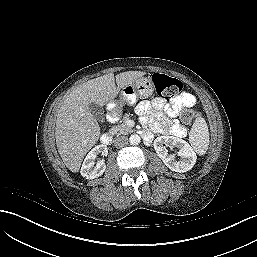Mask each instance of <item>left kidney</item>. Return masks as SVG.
Listing matches in <instances>:
<instances>
[{"mask_svg": "<svg viewBox=\"0 0 257 257\" xmlns=\"http://www.w3.org/2000/svg\"><path fill=\"white\" fill-rule=\"evenodd\" d=\"M166 147L177 148V155L182 159L175 160L174 155L169 154ZM154 149L163 163L172 171L187 172L196 163V153L189 143L183 139L174 136H159L154 140Z\"/></svg>", "mask_w": 257, "mask_h": 257, "instance_id": "left-kidney-1", "label": "left kidney"}]
</instances>
